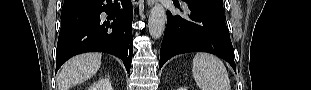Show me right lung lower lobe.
Returning a JSON list of instances; mask_svg holds the SVG:
<instances>
[{
  "mask_svg": "<svg viewBox=\"0 0 311 90\" xmlns=\"http://www.w3.org/2000/svg\"><path fill=\"white\" fill-rule=\"evenodd\" d=\"M132 3L130 0H70L61 12L56 71L69 58L84 52L119 57L127 72L132 61Z\"/></svg>",
  "mask_w": 311,
  "mask_h": 90,
  "instance_id": "98d812e1",
  "label": "right lung lower lobe"
}]
</instances>
